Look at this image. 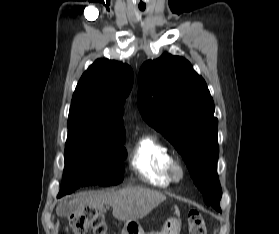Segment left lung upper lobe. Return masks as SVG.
<instances>
[{"instance_id":"obj_1","label":"left lung upper lobe","mask_w":279,"mask_h":234,"mask_svg":"<svg viewBox=\"0 0 279 234\" xmlns=\"http://www.w3.org/2000/svg\"><path fill=\"white\" fill-rule=\"evenodd\" d=\"M138 107L181 154L205 203L221 211L218 120L204 79L186 59L164 53L139 70Z\"/></svg>"}]
</instances>
